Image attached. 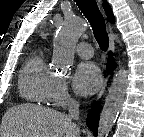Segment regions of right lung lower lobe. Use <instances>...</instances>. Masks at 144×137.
<instances>
[{
    "label": "right lung lower lobe",
    "mask_w": 144,
    "mask_h": 137,
    "mask_svg": "<svg viewBox=\"0 0 144 137\" xmlns=\"http://www.w3.org/2000/svg\"><path fill=\"white\" fill-rule=\"evenodd\" d=\"M112 52L109 53L108 63H107V70L108 73H111V71L115 68V62L114 58L112 57ZM99 103L95 102L91 108V111L89 112L87 116V126L89 129H91L95 134H97L98 129V121H99Z\"/></svg>",
    "instance_id": "obj_1"
}]
</instances>
